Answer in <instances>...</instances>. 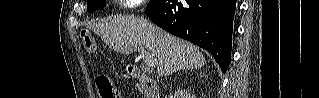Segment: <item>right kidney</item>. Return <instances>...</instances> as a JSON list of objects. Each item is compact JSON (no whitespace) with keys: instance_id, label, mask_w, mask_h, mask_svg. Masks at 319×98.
Returning a JSON list of instances; mask_svg holds the SVG:
<instances>
[{"instance_id":"1","label":"right kidney","mask_w":319,"mask_h":98,"mask_svg":"<svg viewBox=\"0 0 319 98\" xmlns=\"http://www.w3.org/2000/svg\"><path fill=\"white\" fill-rule=\"evenodd\" d=\"M188 98H191L190 94L188 95Z\"/></svg>"}]
</instances>
